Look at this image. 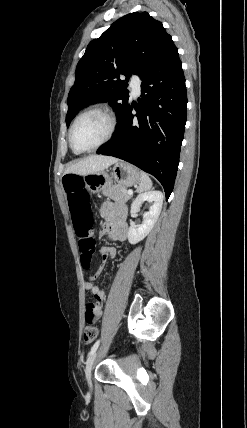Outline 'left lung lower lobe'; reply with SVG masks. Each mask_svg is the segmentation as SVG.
Here are the masks:
<instances>
[{
	"label": "left lung lower lobe",
	"mask_w": 247,
	"mask_h": 428,
	"mask_svg": "<svg viewBox=\"0 0 247 428\" xmlns=\"http://www.w3.org/2000/svg\"><path fill=\"white\" fill-rule=\"evenodd\" d=\"M140 78L139 103L127 104L115 137L97 153L123 159L152 174L168 199L187 117L185 78L177 48L159 58Z\"/></svg>",
	"instance_id": "left-lung-lower-lobe-1"
}]
</instances>
